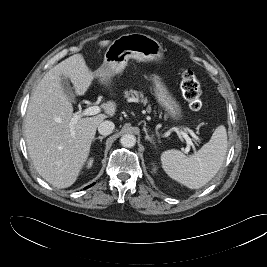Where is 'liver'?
Masks as SVG:
<instances>
[{"instance_id":"liver-1","label":"liver","mask_w":267,"mask_h":267,"mask_svg":"<svg viewBox=\"0 0 267 267\" xmlns=\"http://www.w3.org/2000/svg\"><path fill=\"white\" fill-rule=\"evenodd\" d=\"M110 41H101L105 47ZM62 76L73 84L75 95H84L94 77L108 86L112 74L102 66L92 72L82 54H75L50 69L31 95L25 119L27 149L36 171L57 188L75 183L89 154L96 129L107 117L114 116L116 104L102 105L105 113L80 118L71 124L72 101L64 93Z\"/></svg>"}]
</instances>
